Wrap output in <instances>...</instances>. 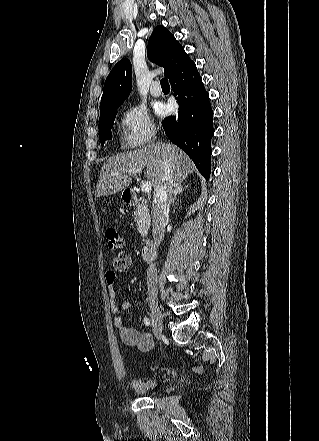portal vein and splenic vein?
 <instances>
[{
	"instance_id": "1",
	"label": "portal vein and splenic vein",
	"mask_w": 319,
	"mask_h": 441,
	"mask_svg": "<svg viewBox=\"0 0 319 441\" xmlns=\"http://www.w3.org/2000/svg\"><path fill=\"white\" fill-rule=\"evenodd\" d=\"M126 172H129L131 174L136 175L137 173L141 172V169L132 168V169L126 170ZM114 175H118V174L114 173ZM151 189H152V185H151L150 181H143L142 182L141 190L143 193H149L151 191Z\"/></svg>"
}]
</instances>
